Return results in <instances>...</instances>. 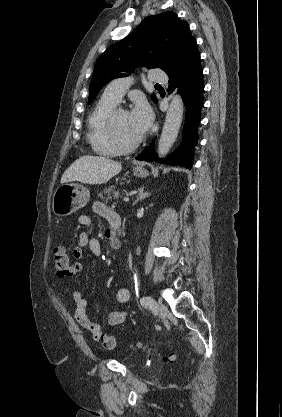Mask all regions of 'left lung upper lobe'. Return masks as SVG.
<instances>
[{"label":"left lung upper lobe","instance_id":"left-lung-upper-lobe-1","mask_svg":"<svg viewBox=\"0 0 282 417\" xmlns=\"http://www.w3.org/2000/svg\"><path fill=\"white\" fill-rule=\"evenodd\" d=\"M189 25L174 12L146 17L126 38L111 45L98 58L90 85L89 104L114 78L127 76L138 67L167 71L190 41ZM152 98L156 102L155 95Z\"/></svg>","mask_w":282,"mask_h":417}]
</instances>
